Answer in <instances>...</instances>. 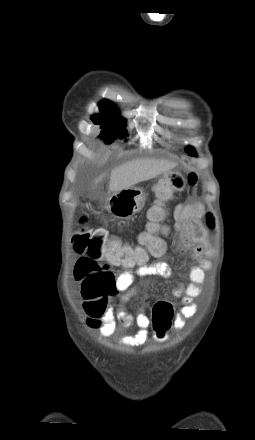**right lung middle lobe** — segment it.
Listing matches in <instances>:
<instances>
[{
	"mask_svg": "<svg viewBox=\"0 0 255 440\" xmlns=\"http://www.w3.org/2000/svg\"><path fill=\"white\" fill-rule=\"evenodd\" d=\"M119 108L102 107L100 106V114L92 116L94 124H100L101 138L106 143H112L116 138H124L126 136L125 120L120 117Z\"/></svg>",
	"mask_w": 255,
	"mask_h": 440,
	"instance_id": "obj_1",
	"label": "right lung middle lobe"
}]
</instances>
